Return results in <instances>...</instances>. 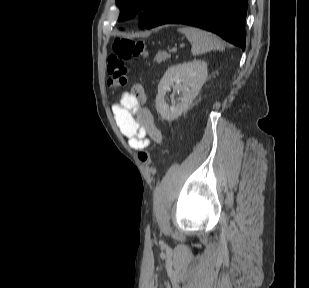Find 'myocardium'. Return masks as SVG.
<instances>
[{
	"instance_id": "f54148a6",
	"label": "myocardium",
	"mask_w": 309,
	"mask_h": 288,
	"mask_svg": "<svg viewBox=\"0 0 309 288\" xmlns=\"http://www.w3.org/2000/svg\"><path fill=\"white\" fill-rule=\"evenodd\" d=\"M139 12V10L137 8L133 9V13L137 14Z\"/></svg>"
}]
</instances>
